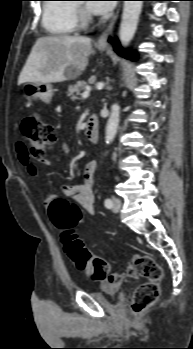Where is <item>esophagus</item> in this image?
<instances>
[{
	"instance_id": "obj_1",
	"label": "esophagus",
	"mask_w": 193,
	"mask_h": 349,
	"mask_svg": "<svg viewBox=\"0 0 193 349\" xmlns=\"http://www.w3.org/2000/svg\"><path fill=\"white\" fill-rule=\"evenodd\" d=\"M119 11H120V8L117 9V12H116L115 16L112 18V20L110 21L108 26L101 33V35L98 37V40L96 42V46L97 47L101 48V47H106L107 46L108 38L110 37V35L113 32L115 23L117 21L118 15H119Z\"/></svg>"
}]
</instances>
